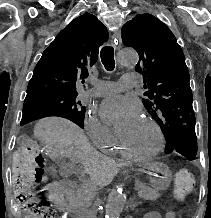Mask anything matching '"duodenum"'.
I'll list each match as a JSON object with an SVG mask.
<instances>
[{
	"instance_id": "duodenum-1",
	"label": "duodenum",
	"mask_w": 211,
	"mask_h": 218,
	"mask_svg": "<svg viewBox=\"0 0 211 218\" xmlns=\"http://www.w3.org/2000/svg\"><path fill=\"white\" fill-rule=\"evenodd\" d=\"M59 188L66 198L68 211L72 214H78V209L73 200L75 182L71 179L61 180L59 182Z\"/></svg>"
}]
</instances>
